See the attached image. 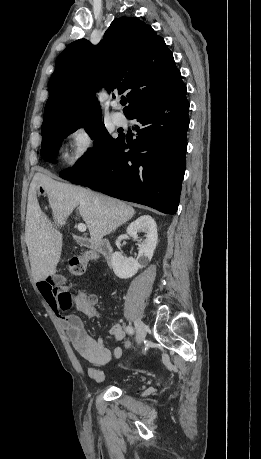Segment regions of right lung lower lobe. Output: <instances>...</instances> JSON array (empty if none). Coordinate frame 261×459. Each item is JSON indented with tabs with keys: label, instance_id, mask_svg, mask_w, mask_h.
Here are the masks:
<instances>
[{
	"label": "right lung lower lobe",
	"instance_id": "obj_1",
	"mask_svg": "<svg viewBox=\"0 0 261 459\" xmlns=\"http://www.w3.org/2000/svg\"><path fill=\"white\" fill-rule=\"evenodd\" d=\"M186 86L139 106L136 139L121 137L107 159L93 171L71 180L109 196L143 204L165 214L177 211L185 172L186 133L189 126Z\"/></svg>",
	"mask_w": 261,
	"mask_h": 459
}]
</instances>
